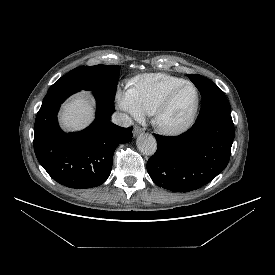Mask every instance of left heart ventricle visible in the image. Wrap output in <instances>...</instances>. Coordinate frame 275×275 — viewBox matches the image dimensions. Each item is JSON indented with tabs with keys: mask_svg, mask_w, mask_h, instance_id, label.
<instances>
[{
	"mask_svg": "<svg viewBox=\"0 0 275 275\" xmlns=\"http://www.w3.org/2000/svg\"><path fill=\"white\" fill-rule=\"evenodd\" d=\"M195 102V93L189 86L180 89L162 117L163 124L175 126L187 119Z\"/></svg>",
	"mask_w": 275,
	"mask_h": 275,
	"instance_id": "1",
	"label": "left heart ventricle"
}]
</instances>
